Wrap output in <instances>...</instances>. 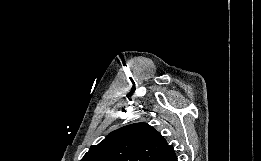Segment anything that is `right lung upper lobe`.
Returning a JSON list of instances; mask_svg holds the SVG:
<instances>
[{
  "instance_id": "1",
  "label": "right lung upper lobe",
  "mask_w": 261,
  "mask_h": 161,
  "mask_svg": "<svg viewBox=\"0 0 261 161\" xmlns=\"http://www.w3.org/2000/svg\"><path fill=\"white\" fill-rule=\"evenodd\" d=\"M174 154L173 147L153 127L135 123L91 146L81 161H164Z\"/></svg>"
}]
</instances>
